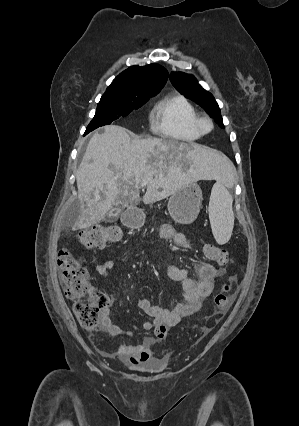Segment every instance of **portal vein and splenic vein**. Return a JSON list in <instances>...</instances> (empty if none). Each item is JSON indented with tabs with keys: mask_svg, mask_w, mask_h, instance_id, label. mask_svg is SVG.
<instances>
[{
	"mask_svg": "<svg viewBox=\"0 0 299 426\" xmlns=\"http://www.w3.org/2000/svg\"><path fill=\"white\" fill-rule=\"evenodd\" d=\"M147 185V183L146 182H142L141 184H140V186L141 187H145Z\"/></svg>",
	"mask_w": 299,
	"mask_h": 426,
	"instance_id": "18ae733b",
	"label": "portal vein and splenic vein"
}]
</instances>
